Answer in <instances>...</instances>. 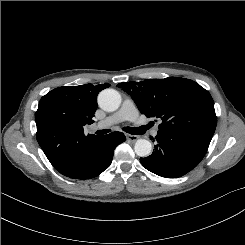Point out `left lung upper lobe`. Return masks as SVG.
I'll return each instance as SVG.
<instances>
[{"instance_id": "obj_1", "label": "left lung upper lobe", "mask_w": 245, "mask_h": 245, "mask_svg": "<svg viewBox=\"0 0 245 245\" xmlns=\"http://www.w3.org/2000/svg\"><path fill=\"white\" fill-rule=\"evenodd\" d=\"M117 86L131 95L142 114L161 120L159 130L189 131L212 138L217 123L214 102L198 83L168 77Z\"/></svg>"}]
</instances>
